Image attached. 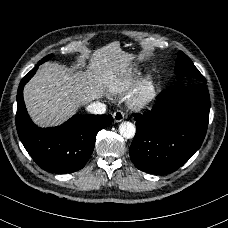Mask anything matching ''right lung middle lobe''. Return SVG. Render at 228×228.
Here are the masks:
<instances>
[{"mask_svg":"<svg viewBox=\"0 0 228 228\" xmlns=\"http://www.w3.org/2000/svg\"><path fill=\"white\" fill-rule=\"evenodd\" d=\"M50 57H52V55H48L45 58H43L41 61H39V64H42L43 62L47 61L48 59H50Z\"/></svg>","mask_w":228,"mask_h":228,"instance_id":"right-lung-middle-lobe-1","label":"right lung middle lobe"}]
</instances>
